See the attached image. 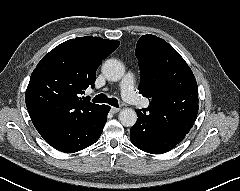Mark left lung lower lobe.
<instances>
[{
  "label": "left lung lower lobe",
  "mask_w": 240,
  "mask_h": 191,
  "mask_svg": "<svg viewBox=\"0 0 240 191\" xmlns=\"http://www.w3.org/2000/svg\"><path fill=\"white\" fill-rule=\"evenodd\" d=\"M138 120L131 128L130 140L137 148L152 154L168 152L180 143L193 126L192 121H157L147 109L137 111Z\"/></svg>",
  "instance_id": "left-lung-lower-lobe-1"
}]
</instances>
